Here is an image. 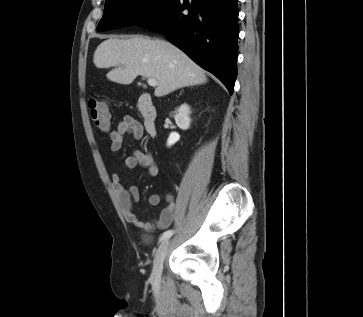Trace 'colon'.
I'll use <instances>...</instances> for the list:
<instances>
[{
    "label": "colon",
    "mask_w": 363,
    "mask_h": 317,
    "mask_svg": "<svg viewBox=\"0 0 363 317\" xmlns=\"http://www.w3.org/2000/svg\"><path fill=\"white\" fill-rule=\"evenodd\" d=\"M89 114L93 123L101 130H106L110 123L108 106L96 98L88 103Z\"/></svg>",
    "instance_id": "1"
}]
</instances>
